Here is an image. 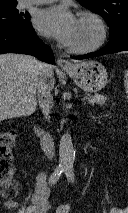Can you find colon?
Returning a JSON list of instances; mask_svg holds the SVG:
<instances>
[{
    "label": "colon",
    "instance_id": "colon-1",
    "mask_svg": "<svg viewBox=\"0 0 128 213\" xmlns=\"http://www.w3.org/2000/svg\"><path fill=\"white\" fill-rule=\"evenodd\" d=\"M126 98L128 100V70L124 73ZM16 142V132L9 130L0 133V192L6 198L16 196L18 184L14 180L15 170L12 164V148ZM56 213H70V205L63 204Z\"/></svg>",
    "mask_w": 128,
    "mask_h": 213
}]
</instances>
